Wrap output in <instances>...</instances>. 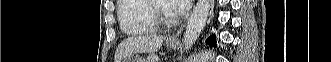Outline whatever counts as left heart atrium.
Listing matches in <instances>:
<instances>
[{
    "instance_id": "obj_1",
    "label": "left heart atrium",
    "mask_w": 331,
    "mask_h": 62,
    "mask_svg": "<svg viewBox=\"0 0 331 62\" xmlns=\"http://www.w3.org/2000/svg\"><path fill=\"white\" fill-rule=\"evenodd\" d=\"M191 0H169L167 2L168 13L172 15L184 14L190 6Z\"/></svg>"
}]
</instances>
